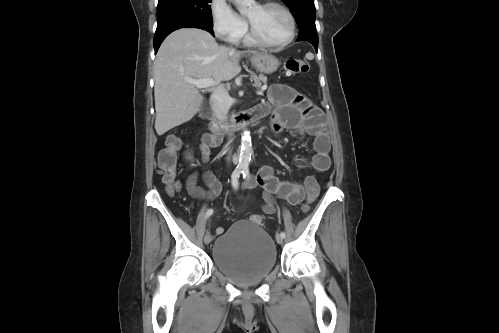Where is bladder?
I'll return each mask as SVG.
<instances>
[{
    "label": "bladder",
    "mask_w": 499,
    "mask_h": 333,
    "mask_svg": "<svg viewBox=\"0 0 499 333\" xmlns=\"http://www.w3.org/2000/svg\"><path fill=\"white\" fill-rule=\"evenodd\" d=\"M212 258L226 276L252 284L276 267L277 250L272 237L259 224L241 220L217 238Z\"/></svg>",
    "instance_id": "bladder-1"
}]
</instances>
